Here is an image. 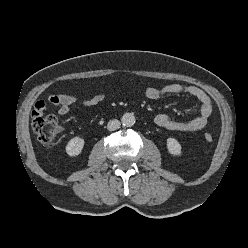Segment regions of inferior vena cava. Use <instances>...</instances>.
I'll use <instances>...</instances> for the list:
<instances>
[{
    "instance_id": "1",
    "label": "inferior vena cava",
    "mask_w": 248,
    "mask_h": 248,
    "mask_svg": "<svg viewBox=\"0 0 248 248\" xmlns=\"http://www.w3.org/2000/svg\"><path fill=\"white\" fill-rule=\"evenodd\" d=\"M120 128V121L117 119L110 120L107 124V129L109 131H114Z\"/></svg>"
}]
</instances>
